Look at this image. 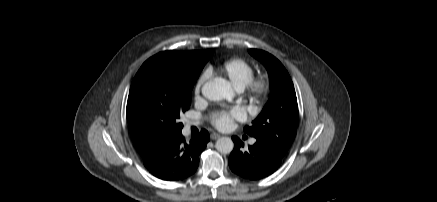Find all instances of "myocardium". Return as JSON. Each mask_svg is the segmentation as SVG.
Returning <instances> with one entry per match:
<instances>
[{
	"mask_svg": "<svg viewBox=\"0 0 437 202\" xmlns=\"http://www.w3.org/2000/svg\"><path fill=\"white\" fill-rule=\"evenodd\" d=\"M244 91L251 99L261 100L270 91V81L265 76L253 77L244 88Z\"/></svg>",
	"mask_w": 437,
	"mask_h": 202,
	"instance_id": "1",
	"label": "myocardium"
}]
</instances>
